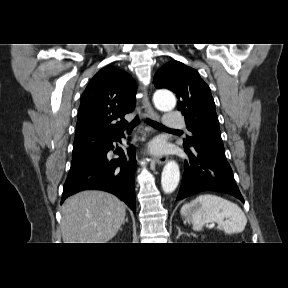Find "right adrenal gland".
Returning a JSON list of instances; mask_svg holds the SVG:
<instances>
[{
	"label": "right adrenal gland",
	"instance_id": "2a0ac1e0",
	"mask_svg": "<svg viewBox=\"0 0 288 288\" xmlns=\"http://www.w3.org/2000/svg\"><path fill=\"white\" fill-rule=\"evenodd\" d=\"M126 222L128 221V218H126V220H125Z\"/></svg>",
	"mask_w": 288,
	"mask_h": 288
}]
</instances>
